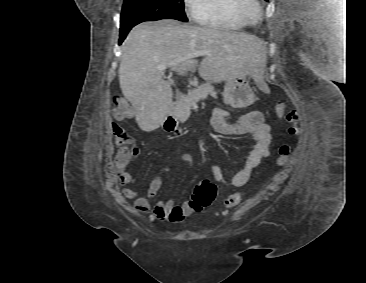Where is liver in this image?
Listing matches in <instances>:
<instances>
[{"label": "liver", "instance_id": "liver-1", "mask_svg": "<svg viewBox=\"0 0 366 283\" xmlns=\"http://www.w3.org/2000/svg\"><path fill=\"white\" fill-rule=\"evenodd\" d=\"M207 50L201 63L194 54ZM179 61L172 71L185 75L198 70L209 82L219 83L231 75L263 78L266 64L262 41L253 35L213 27L182 24L174 19L135 26L122 45L119 83L135 110L141 130L159 128L173 108L171 85L158 65Z\"/></svg>", "mask_w": 366, "mask_h": 283}]
</instances>
